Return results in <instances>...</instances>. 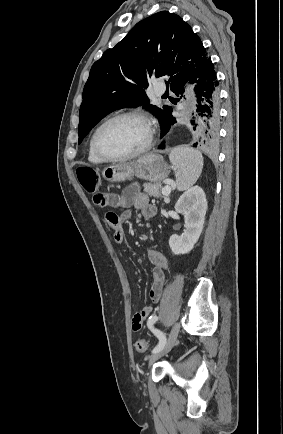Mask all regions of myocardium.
I'll return each instance as SVG.
<instances>
[{
	"label": "myocardium",
	"mask_w": 283,
	"mask_h": 434,
	"mask_svg": "<svg viewBox=\"0 0 283 434\" xmlns=\"http://www.w3.org/2000/svg\"><path fill=\"white\" fill-rule=\"evenodd\" d=\"M127 118L138 119V120H141L142 122H144L146 124L147 129H148V138H147L146 143L139 150L132 152V153H129V154L119 155V156H112V155L106 154L101 149V147L99 146V143H98V137H99L100 132L110 123L115 122L117 120H121V119H127ZM153 142H154V128H153V125H152L150 118L148 117L147 114H145L141 111H135V110L118 113V114H115V115L109 117L108 119H106L104 122H102L95 129V131L91 137V144H92L94 152L97 154V156L99 158H101L105 162H118V161L129 160V159H133V158H136L138 156H141L151 149Z\"/></svg>",
	"instance_id": "f54148a6"
}]
</instances>
